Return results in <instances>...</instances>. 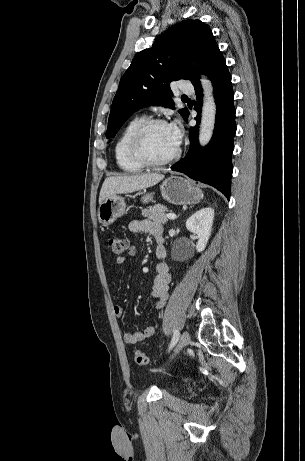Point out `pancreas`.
<instances>
[{
	"instance_id": "cf45deb5",
	"label": "pancreas",
	"mask_w": 305,
	"mask_h": 461,
	"mask_svg": "<svg viewBox=\"0 0 305 461\" xmlns=\"http://www.w3.org/2000/svg\"><path fill=\"white\" fill-rule=\"evenodd\" d=\"M167 211L168 209L164 205L157 204L155 206H150L146 209H143L142 216L151 219L155 223L165 224L168 220L165 214Z\"/></svg>"
}]
</instances>
